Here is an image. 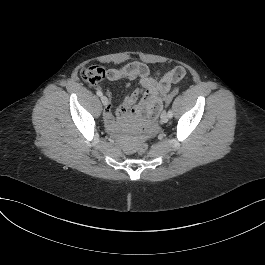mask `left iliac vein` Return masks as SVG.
Returning a JSON list of instances; mask_svg holds the SVG:
<instances>
[{"instance_id": "obj_1", "label": "left iliac vein", "mask_w": 265, "mask_h": 265, "mask_svg": "<svg viewBox=\"0 0 265 265\" xmlns=\"http://www.w3.org/2000/svg\"><path fill=\"white\" fill-rule=\"evenodd\" d=\"M169 120V116H168V113L166 111H164L162 114H161V121L163 123H167Z\"/></svg>"}]
</instances>
